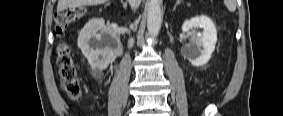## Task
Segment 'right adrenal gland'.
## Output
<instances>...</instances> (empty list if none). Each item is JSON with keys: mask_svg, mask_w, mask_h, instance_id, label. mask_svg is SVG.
Here are the masks:
<instances>
[{"mask_svg": "<svg viewBox=\"0 0 283 116\" xmlns=\"http://www.w3.org/2000/svg\"><path fill=\"white\" fill-rule=\"evenodd\" d=\"M121 2H122V5H123V8H124V9H127V3H125V2L122 1V0H121Z\"/></svg>", "mask_w": 283, "mask_h": 116, "instance_id": "2a0ac1e0", "label": "right adrenal gland"}]
</instances>
